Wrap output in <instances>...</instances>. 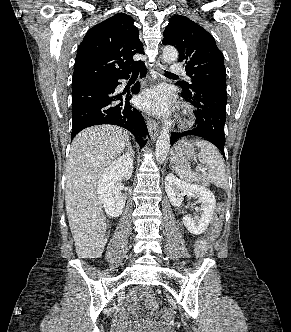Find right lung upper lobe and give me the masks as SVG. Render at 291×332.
Returning <instances> with one entry per match:
<instances>
[{
  "label": "right lung upper lobe",
  "mask_w": 291,
  "mask_h": 332,
  "mask_svg": "<svg viewBox=\"0 0 291 332\" xmlns=\"http://www.w3.org/2000/svg\"><path fill=\"white\" fill-rule=\"evenodd\" d=\"M133 22L129 15L118 13L86 33L77 51L73 85L100 77L115 79L143 63L133 60V55L144 54Z\"/></svg>",
  "instance_id": "1"
}]
</instances>
